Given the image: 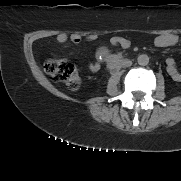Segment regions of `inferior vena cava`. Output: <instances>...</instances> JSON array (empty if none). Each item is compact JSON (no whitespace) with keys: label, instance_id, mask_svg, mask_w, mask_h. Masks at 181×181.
<instances>
[{"label":"inferior vena cava","instance_id":"obj_1","mask_svg":"<svg viewBox=\"0 0 181 181\" xmlns=\"http://www.w3.org/2000/svg\"><path fill=\"white\" fill-rule=\"evenodd\" d=\"M131 65H132V61H130V60H124V61L120 64L121 67H129V66H131Z\"/></svg>","mask_w":181,"mask_h":181}]
</instances>
